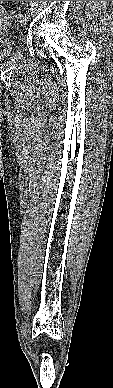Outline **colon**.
Instances as JSON below:
<instances>
[{
    "label": "colon",
    "instance_id": "5ec220e1",
    "mask_svg": "<svg viewBox=\"0 0 113 388\" xmlns=\"http://www.w3.org/2000/svg\"><path fill=\"white\" fill-rule=\"evenodd\" d=\"M14 16H15V14H14V13H12V14H9L7 18H8V19H13V18H14Z\"/></svg>",
    "mask_w": 113,
    "mask_h": 388
}]
</instances>
